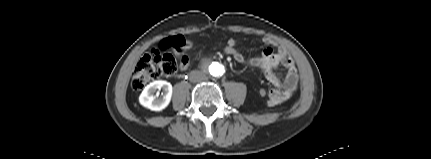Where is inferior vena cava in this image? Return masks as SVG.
I'll use <instances>...</instances> for the list:
<instances>
[{
	"mask_svg": "<svg viewBox=\"0 0 431 159\" xmlns=\"http://www.w3.org/2000/svg\"><path fill=\"white\" fill-rule=\"evenodd\" d=\"M205 79L204 75L199 72H192L190 75L191 82H201Z\"/></svg>",
	"mask_w": 431,
	"mask_h": 159,
	"instance_id": "1",
	"label": "inferior vena cava"
}]
</instances>
